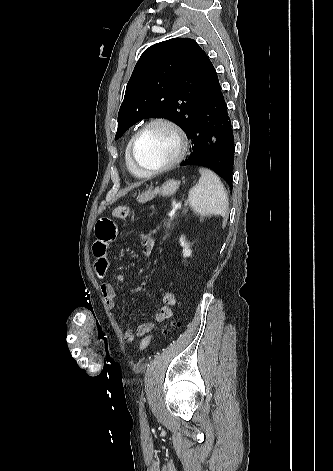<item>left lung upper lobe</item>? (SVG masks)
<instances>
[{"mask_svg":"<svg viewBox=\"0 0 333 471\" xmlns=\"http://www.w3.org/2000/svg\"><path fill=\"white\" fill-rule=\"evenodd\" d=\"M215 68L190 38H172L147 48L126 86L115 139L147 117H165L188 134Z\"/></svg>","mask_w":333,"mask_h":471,"instance_id":"obj_1","label":"left lung upper lobe"}]
</instances>
